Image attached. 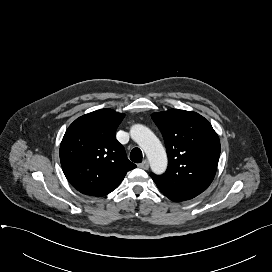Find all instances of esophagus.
<instances>
[{
	"mask_svg": "<svg viewBox=\"0 0 272 272\" xmlns=\"http://www.w3.org/2000/svg\"><path fill=\"white\" fill-rule=\"evenodd\" d=\"M139 168L144 169V170H148L149 168V162L147 160H144L142 163H140L138 165Z\"/></svg>",
	"mask_w": 272,
	"mask_h": 272,
	"instance_id": "34e87169",
	"label": "esophagus"
}]
</instances>
